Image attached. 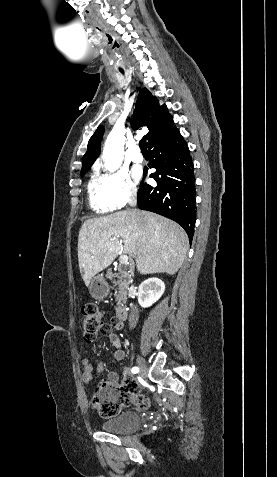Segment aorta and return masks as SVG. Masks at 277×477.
Returning <instances> with one entry per match:
<instances>
[{
  "mask_svg": "<svg viewBox=\"0 0 277 477\" xmlns=\"http://www.w3.org/2000/svg\"><path fill=\"white\" fill-rule=\"evenodd\" d=\"M125 143V129L123 125L115 124L109 133L102 158L104 160L105 169L114 172L119 169L123 160Z\"/></svg>",
  "mask_w": 277,
  "mask_h": 477,
  "instance_id": "762f6f07",
  "label": "aorta"
}]
</instances>
